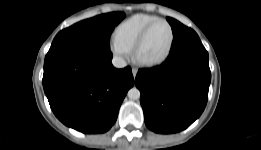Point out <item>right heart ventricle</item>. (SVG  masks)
<instances>
[{
	"instance_id": "e07e8e85",
	"label": "right heart ventricle",
	"mask_w": 261,
	"mask_h": 150,
	"mask_svg": "<svg viewBox=\"0 0 261 150\" xmlns=\"http://www.w3.org/2000/svg\"><path fill=\"white\" fill-rule=\"evenodd\" d=\"M157 19L154 15L135 14L117 25L114 39L130 51L145 27Z\"/></svg>"
}]
</instances>
